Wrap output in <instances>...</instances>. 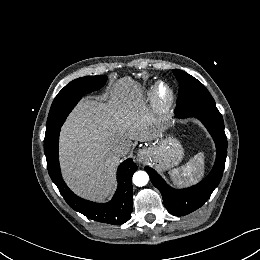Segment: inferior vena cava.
Masks as SVG:
<instances>
[{"mask_svg": "<svg viewBox=\"0 0 260 260\" xmlns=\"http://www.w3.org/2000/svg\"><path fill=\"white\" fill-rule=\"evenodd\" d=\"M113 152L119 157L125 156L129 152V146L127 143L121 142L113 146Z\"/></svg>", "mask_w": 260, "mask_h": 260, "instance_id": "602c4592", "label": "inferior vena cava"}]
</instances>
